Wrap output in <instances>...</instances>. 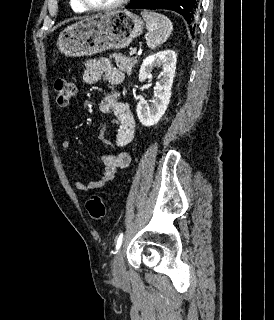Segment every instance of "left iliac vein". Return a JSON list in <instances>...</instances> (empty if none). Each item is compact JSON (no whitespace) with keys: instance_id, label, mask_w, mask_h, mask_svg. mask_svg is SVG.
Here are the masks:
<instances>
[{"instance_id":"obj_1","label":"left iliac vein","mask_w":274,"mask_h":320,"mask_svg":"<svg viewBox=\"0 0 274 320\" xmlns=\"http://www.w3.org/2000/svg\"><path fill=\"white\" fill-rule=\"evenodd\" d=\"M113 272L115 279L118 282H121L125 280L126 278V269L124 266V260H123V249H119L114 257L113 261Z\"/></svg>"}]
</instances>
